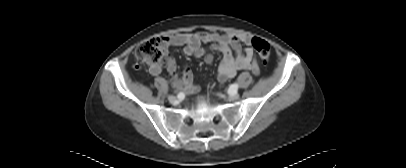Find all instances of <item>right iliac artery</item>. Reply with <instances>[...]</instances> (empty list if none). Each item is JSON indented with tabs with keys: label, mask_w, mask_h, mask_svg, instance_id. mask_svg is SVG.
<instances>
[{
	"label": "right iliac artery",
	"mask_w": 406,
	"mask_h": 168,
	"mask_svg": "<svg viewBox=\"0 0 406 168\" xmlns=\"http://www.w3.org/2000/svg\"><path fill=\"white\" fill-rule=\"evenodd\" d=\"M183 94L182 93H180V94H178V97H180V96H182Z\"/></svg>",
	"instance_id": "right-iliac-artery-1"
}]
</instances>
